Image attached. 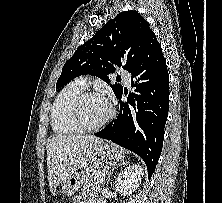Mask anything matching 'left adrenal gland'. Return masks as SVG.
<instances>
[{
	"label": "left adrenal gland",
	"mask_w": 222,
	"mask_h": 203,
	"mask_svg": "<svg viewBox=\"0 0 222 203\" xmlns=\"http://www.w3.org/2000/svg\"><path fill=\"white\" fill-rule=\"evenodd\" d=\"M124 164H126V162H122V163H120V164H115V165L112 167V169H111L109 172H107V179H106V182H107V183H109V181H110V176H111L112 172H113L116 168H118V167H120L121 165H124Z\"/></svg>",
	"instance_id": "obj_1"
}]
</instances>
